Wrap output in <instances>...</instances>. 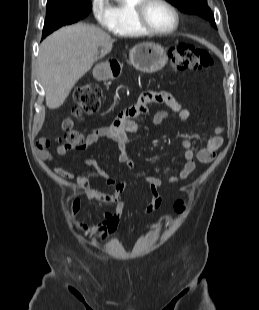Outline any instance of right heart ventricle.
<instances>
[{
  "mask_svg": "<svg viewBox=\"0 0 259 310\" xmlns=\"http://www.w3.org/2000/svg\"><path fill=\"white\" fill-rule=\"evenodd\" d=\"M138 2L139 0H114L111 4V18L107 29L123 37L145 35L134 18V7Z\"/></svg>",
  "mask_w": 259,
  "mask_h": 310,
  "instance_id": "e07e8e85",
  "label": "right heart ventricle"
}]
</instances>
